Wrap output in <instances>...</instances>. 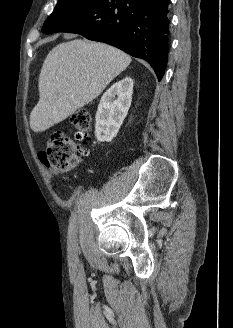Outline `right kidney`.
<instances>
[{
	"instance_id": "right-kidney-1",
	"label": "right kidney",
	"mask_w": 233,
	"mask_h": 328,
	"mask_svg": "<svg viewBox=\"0 0 233 328\" xmlns=\"http://www.w3.org/2000/svg\"><path fill=\"white\" fill-rule=\"evenodd\" d=\"M133 80L114 83L101 97L96 113L95 135L100 142H110L117 135L132 101Z\"/></svg>"
}]
</instances>
